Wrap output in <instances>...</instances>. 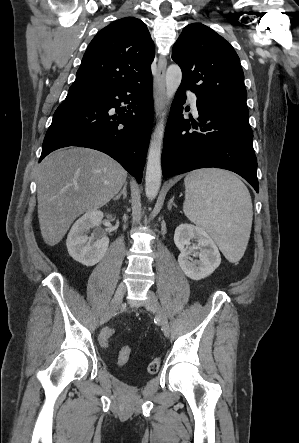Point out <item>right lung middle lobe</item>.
<instances>
[{
    "label": "right lung middle lobe",
    "mask_w": 299,
    "mask_h": 443,
    "mask_svg": "<svg viewBox=\"0 0 299 443\" xmlns=\"http://www.w3.org/2000/svg\"><path fill=\"white\" fill-rule=\"evenodd\" d=\"M91 90H85V89H76V88H70L69 92H89Z\"/></svg>",
    "instance_id": "obj_1"
}]
</instances>
